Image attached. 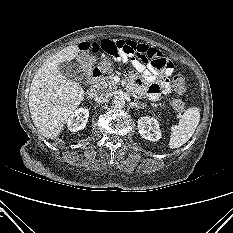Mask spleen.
<instances>
[{"mask_svg":"<svg viewBox=\"0 0 233 233\" xmlns=\"http://www.w3.org/2000/svg\"><path fill=\"white\" fill-rule=\"evenodd\" d=\"M199 121L200 109L198 107L186 109L178 125L171 127L169 147L175 149L185 144L194 134Z\"/></svg>","mask_w":233,"mask_h":233,"instance_id":"spleen-1","label":"spleen"}]
</instances>
